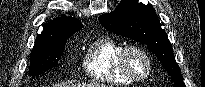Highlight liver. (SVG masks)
<instances>
[{"instance_id": "liver-1", "label": "liver", "mask_w": 205, "mask_h": 87, "mask_svg": "<svg viewBox=\"0 0 205 87\" xmlns=\"http://www.w3.org/2000/svg\"><path fill=\"white\" fill-rule=\"evenodd\" d=\"M59 87H106V86L99 83H89V84H75V85L63 84V86H59Z\"/></svg>"}]
</instances>
